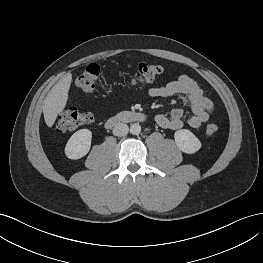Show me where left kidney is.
Instances as JSON below:
<instances>
[{"label":"left kidney","mask_w":263,"mask_h":263,"mask_svg":"<svg viewBox=\"0 0 263 263\" xmlns=\"http://www.w3.org/2000/svg\"><path fill=\"white\" fill-rule=\"evenodd\" d=\"M177 147L184 153L193 154L201 148L200 140L187 129H181L174 133Z\"/></svg>","instance_id":"obj_1"}]
</instances>
